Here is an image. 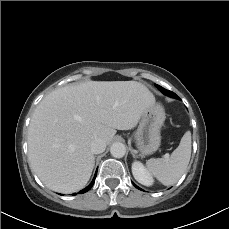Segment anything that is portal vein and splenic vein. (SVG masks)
<instances>
[{
	"mask_svg": "<svg viewBox=\"0 0 229 229\" xmlns=\"http://www.w3.org/2000/svg\"><path fill=\"white\" fill-rule=\"evenodd\" d=\"M164 158H168V154H165Z\"/></svg>",
	"mask_w": 229,
	"mask_h": 229,
	"instance_id": "obj_1",
	"label": "portal vein and splenic vein"
}]
</instances>
